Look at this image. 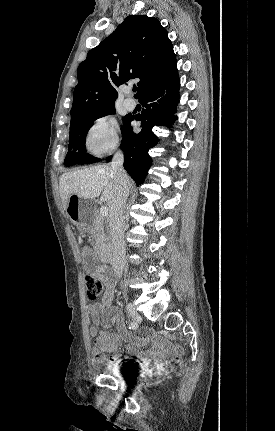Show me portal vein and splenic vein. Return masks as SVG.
Returning a JSON list of instances; mask_svg holds the SVG:
<instances>
[{"label":"portal vein and splenic vein","instance_id":"obj_1","mask_svg":"<svg viewBox=\"0 0 275 431\" xmlns=\"http://www.w3.org/2000/svg\"><path fill=\"white\" fill-rule=\"evenodd\" d=\"M100 214H101V216H107V214H108V208L106 206H102L100 208Z\"/></svg>","mask_w":275,"mask_h":431}]
</instances>
